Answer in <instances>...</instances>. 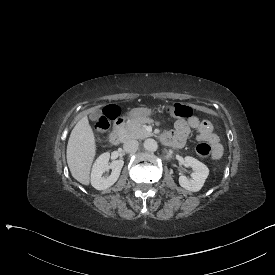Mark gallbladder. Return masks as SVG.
<instances>
[{
    "instance_id": "gallbladder-1",
    "label": "gallbladder",
    "mask_w": 275,
    "mask_h": 275,
    "mask_svg": "<svg viewBox=\"0 0 275 275\" xmlns=\"http://www.w3.org/2000/svg\"><path fill=\"white\" fill-rule=\"evenodd\" d=\"M103 116V110L102 109H96L89 114V120L92 122H99L101 117Z\"/></svg>"
}]
</instances>
